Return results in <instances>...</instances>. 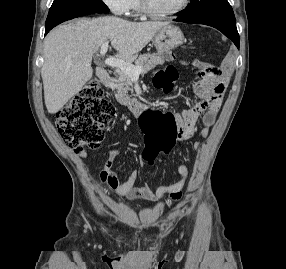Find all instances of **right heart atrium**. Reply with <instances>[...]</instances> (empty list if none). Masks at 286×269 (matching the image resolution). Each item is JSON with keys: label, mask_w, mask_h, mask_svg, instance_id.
I'll list each match as a JSON object with an SVG mask.
<instances>
[{"label": "right heart atrium", "mask_w": 286, "mask_h": 269, "mask_svg": "<svg viewBox=\"0 0 286 269\" xmlns=\"http://www.w3.org/2000/svg\"><path fill=\"white\" fill-rule=\"evenodd\" d=\"M104 5L115 15H125L128 13L129 0H102Z\"/></svg>", "instance_id": "1"}]
</instances>
